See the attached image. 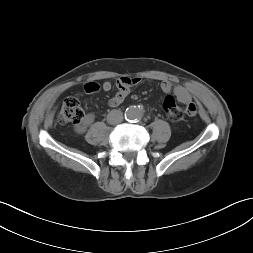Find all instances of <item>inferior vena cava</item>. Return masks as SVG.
Returning <instances> with one entry per match:
<instances>
[{"instance_id": "inferior-vena-cava-1", "label": "inferior vena cava", "mask_w": 253, "mask_h": 253, "mask_svg": "<svg viewBox=\"0 0 253 253\" xmlns=\"http://www.w3.org/2000/svg\"><path fill=\"white\" fill-rule=\"evenodd\" d=\"M123 120V113L120 110L113 109L107 116V121L110 124H118Z\"/></svg>"}]
</instances>
